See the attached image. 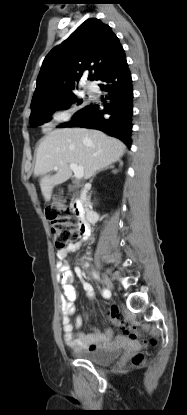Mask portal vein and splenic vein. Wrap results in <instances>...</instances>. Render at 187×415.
I'll list each match as a JSON object with an SVG mask.
<instances>
[{"mask_svg":"<svg viewBox=\"0 0 187 415\" xmlns=\"http://www.w3.org/2000/svg\"><path fill=\"white\" fill-rule=\"evenodd\" d=\"M70 169L74 172V175L77 179H81L84 176V168L80 165L70 163L69 165ZM58 167L55 166L54 170H57Z\"/></svg>","mask_w":187,"mask_h":415,"instance_id":"portal-vein-and-splenic-vein-1","label":"portal vein and splenic vein"}]
</instances>
